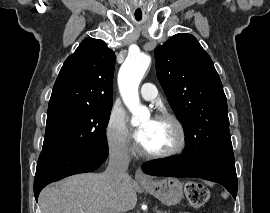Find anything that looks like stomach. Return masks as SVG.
I'll list each match as a JSON object with an SVG mask.
<instances>
[{"instance_id": "obj_1", "label": "stomach", "mask_w": 270, "mask_h": 213, "mask_svg": "<svg viewBox=\"0 0 270 213\" xmlns=\"http://www.w3.org/2000/svg\"><path fill=\"white\" fill-rule=\"evenodd\" d=\"M142 187L168 206L179 203L183 197V183L174 177L153 180Z\"/></svg>"}]
</instances>
